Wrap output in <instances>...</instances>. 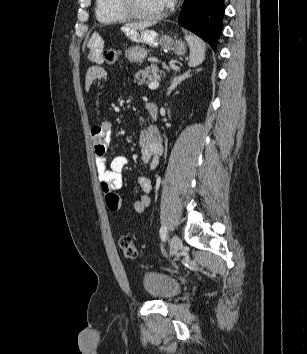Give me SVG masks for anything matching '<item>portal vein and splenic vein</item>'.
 <instances>
[{"label":"portal vein and splenic vein","instance_id":"18ae733b","mask_svg":"<svg viewBox=\"0 0 307 354\" xmlns=\"http://www.w3.org/2000/svg\"><path fill=\"white\" fill-rule=\"evenodd\" d=\"M159 79H160V78L155 79L154 81H152L151 83H149L148 88L151 89V90L158 88V87H159V84H160V83H159Z\"/></svg>","mask_w":307,"mask_h":354}]
</instances>
